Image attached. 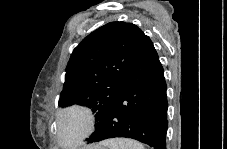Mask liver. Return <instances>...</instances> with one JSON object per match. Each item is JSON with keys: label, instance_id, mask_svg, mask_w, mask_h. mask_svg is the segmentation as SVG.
<instances>
[{"label": "liver", "instance_id": "obj_1", "mask_svg": "<svg viewBox=\"0 0 227 149\" xmlns=\"http://www.w3.org/2000/svg\"><path fill=\"white\" fill-rule=\"evenodd\" d=\"M92 147H94V146H92ZM95 148H101V146H96Z\"/></svg>", "mask_w": 227, "mask_h": 149}]
</instances>
